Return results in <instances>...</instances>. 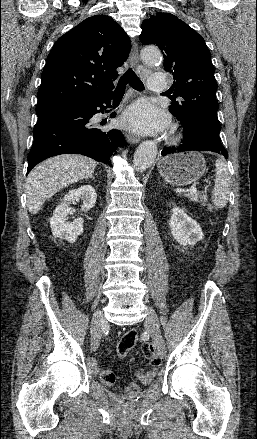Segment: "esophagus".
<instances>
[{"mask_svg":"<svg viewBox=\"0 0 257 439\" xmlns=\"http://www.w3.org/2000/svg\"><path fill=\"white\" fill-rule=\"evenodd\" d=\"M129 61L133 67L137 68V66L139 64V54H138V47H137L136 42L133 43V47L131 49L130 56H129ZM125 137H126L127 141L131 144H136L140 141V137L133 135L131 133H126Z\"/></svg>","mask_w":257,"mask_h":439,"instance_id":"34e87169","label":"esophagus"}]
</instances>
